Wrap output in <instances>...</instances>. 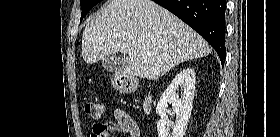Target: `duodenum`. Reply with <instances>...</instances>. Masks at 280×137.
<instances>
[{
    "instance_id": "duodenum-1",
    "label": "duodenum",
    "mask_w": 280,
    "mask_h": 137,
    "mask_svg": "<svg viewBox=\"0 0 280 137\" xmlns=\"http://www.w3.org/2000/svg\"><path fill=\"white\" fill-rule=\"evenodd\" d=\"M143 109L148 112L152 109V97L148 96L143 101Z\"/></svg>"
}]
</instances>
